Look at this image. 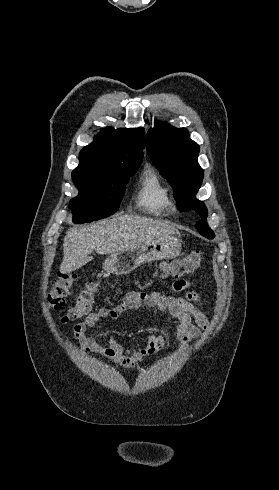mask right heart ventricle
<instances>
[{
	"instance_id": "right-heart-ventricle-1",
	"label": "right heart ventricle",
	"mask_w": 279,
	"mask_h": 490,
	"mask_svg": "<svg viewBox=\"0 0 279 490\" xmlns=\"http://www.w3.org/2000/svg\"><path fill=\"white\" fill-rule=\"evenodd\" d=\"M137 199L139 206L155 216H168L176 211L173 192L154 167L144 172Z\"/></svg>"
}]
</instances>
